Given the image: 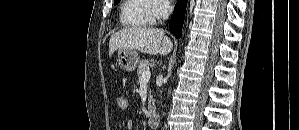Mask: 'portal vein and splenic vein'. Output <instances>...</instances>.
I'll return each instance as SVG.
<instances>
[{"label":"portal vein and splenic vein","instance_id":"obj_1","mask_svg":"<svg viewBox=\"0 0 299 130\" xmlns=\"http://www.w3.org/2000/svg\"><path fill=\"white\" fill-rule=\"evenodd\" d=\"M150 77H151V73H150V71L148 70V71L144 72V73L141 75V77H140V81H141V82H148L149 79H150Z\"/></svg>","mask_w":299,"mask_h":130}]
</instances>
